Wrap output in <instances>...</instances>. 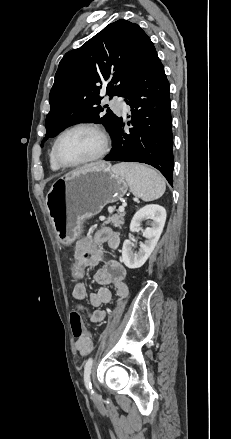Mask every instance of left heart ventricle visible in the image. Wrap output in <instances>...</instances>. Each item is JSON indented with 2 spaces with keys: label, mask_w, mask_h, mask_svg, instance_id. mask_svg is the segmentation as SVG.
I'll list each match as a JSON object with an SVG mask.
<instances>
[{
  "label": "left heart ventricle",
  "mask_w": 231,
  "mask_h": 439,
  "mask_svg": "<svg viewBox=\"0 0 231 439\" xmlns=\"http://www.w3.org/2000/svg\"><path fill=\"white\" fill-rule=\"evenodd\" d=\"M102 147L100 136L91 130L79 129L66 134L59 143V154L68 163L88 159Z\"/></svg>",
  "instance_id": "obj_1"
}]
</instances>
